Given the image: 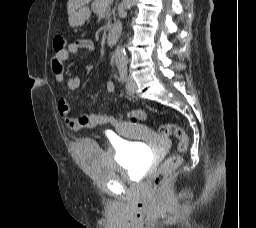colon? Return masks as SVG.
Segmentation results:
<instances>
[{
	"label": "colon",
	"mask_w": 256,
	"mask_h": 228,
	"mask_svg": "<svg viewBox=\"0 0 256 228\" xmlns=\"http://www.w3.org/2000/svg\"><path fill=\"white\" fill-rule=\"evenodd\" d=\"M66 48V40L61 35H56L53 38L54 53H59ZM130 118L132 121H142L145 119V113L142 110H134L131 112ZM160 133L163 136L174 135L178 140L177 153L168 157L160 166L159 170L153 178V186L155 189H161L168 175L177 169L183 160V155L189 147V138L185 130L173 123H166L160 127Z\"/></svg>",
	"instance_id": "5ec220e1"
}]
</instances>
